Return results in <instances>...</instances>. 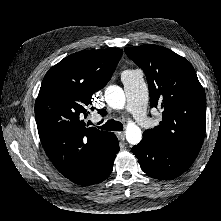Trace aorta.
<instances>
[{
	"label": "aorta",
	"mask_w": 221,
	"mask_h": 221,
	"mask_svg": "<svg viewBox=\"0 0 221 221\" xmlns=\"http://www.w3.org/2000/svg\"><path fill=\"white\" fill-rule=\"evenodd\" d=\"M105 101L113 109H123L125 105V94L121 87L110 85L105 90ZM127 141L132 145H137L142 139L141 129L129 121L125 131Z\"/></svg>",
	"instance_id": "762f6f07"
}]
</instances>
